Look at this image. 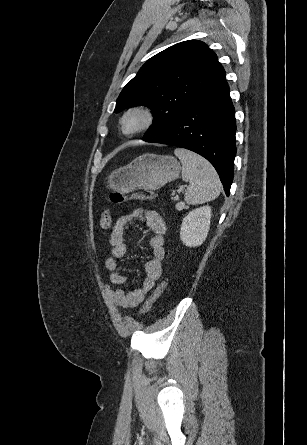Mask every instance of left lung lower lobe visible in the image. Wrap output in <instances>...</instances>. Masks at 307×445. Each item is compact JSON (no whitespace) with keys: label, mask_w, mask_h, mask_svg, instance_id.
<instances>
[{"label":"left lung lower lobe","mask_w":307,"mask_h":445,"mask_svg":"<svg viewBox=\"0 0 307 445\" xmlns=\"http://www.w3.org/2000/svg\"><path fill=\"white\" fill-rule=\"evenodd\" d=\"M235 132V111L225 80L166 128L144 141L182 147L200 154L215 167L229 196L236 154Z\"/></svg>","instance_id":"0a47b994"}]
</instances>
